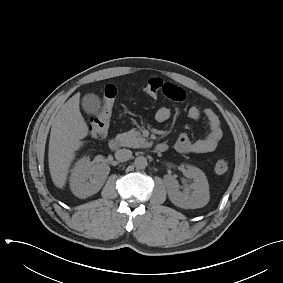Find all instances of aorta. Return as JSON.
I'll return each instance as SVG.
<instances>
[{
	"instance_id": "aorta-1",
	"label": "aorta",
	"mask_w": 283,
	"mask_h": 283,
	"mask_svg": "<svg viewBox=\"0 0 283 283\" xmlns=\"http://www.w3.org/2000/svg\"><path fill=\"white\" fill-rule=\"evenodd\" d=\"M134 164H135V167L140 170L145 169L148 165L147 159L144 156L136 157Z\"/></svg>"
}]
</instances>
